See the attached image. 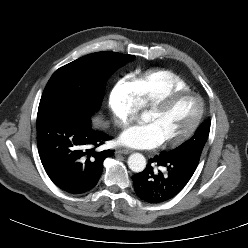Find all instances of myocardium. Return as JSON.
Instances as JSON below:
<instances>
[{
  "mask_svg": "<svg viewBox=\"0 0 248 248\" xmlns=\"http://www.w3.org/2000/svg\"><path fill=\"white\" fill-rule=\"evenodd\" d=\"M186 96H192L198 101V104H199L198 113H197L193 123L191 124V126L183 134H181L177 138L161 142L160 146L163 148L176 147V146L184 143L186 140H188L195 133V131L199 127V125L203 119L204 113H205L204 99L200 94L193 92L191 90L172 91V92H169V93L163 95L159 99L155 100L146 108L145 113L153 112V111H161V110H164L165 108H167L175 100L180 99L182 97H186Z\"/></svg>",
  "mask_w": 248,
  "mask_h": 248,
  "instance_id": "myocardium-1",
  "label": "myocardium"
}]
</instances>
